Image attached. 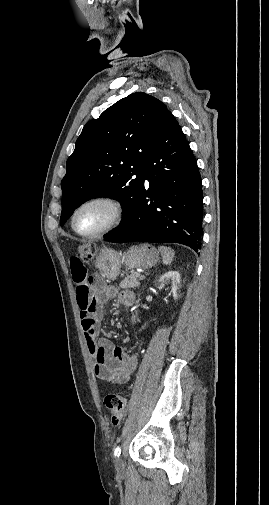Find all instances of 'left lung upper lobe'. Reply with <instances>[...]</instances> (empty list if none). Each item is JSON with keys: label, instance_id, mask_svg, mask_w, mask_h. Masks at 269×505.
Here are the masks:
<instances>
[{"label": "left lung upper lobe", "instance_id": "left-lung-upper-lobe-1", "mask_svg": "<svg viewBox=\"0 0 269 505\" xmlns=\"http://www.w3.org/2000/svg\"><path fill=\"white\" fill-rule=\"evenodd\" d=\"M168 112L157 98L137 92L84 126L61 182V225L76 208L96 197L120 201V225L129 220L149 142Z\"/></svg>", "mask_w": 269, "mask_h": 505}]
</instances>
